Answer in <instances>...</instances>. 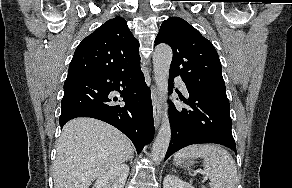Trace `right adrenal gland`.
<instances>
[{
	"label": "right adrenal gland",
	"mask_w": 292,
	"mask_h": 188,
	"mask_svg": "<svg viewBox=\"0 0 292 188\" xmlns=\"http://www.w3.org/2000/svg\"><path fill=\"white\" fill-rule=\"evenodd\" d=\"M128 160L130 161V164H132V162H133V154L130 155V157L128 158ZM126 162H127V160H126Z\"/></svg>",
	"instance_id": "2a0ac1e0"
}]
</instances>
